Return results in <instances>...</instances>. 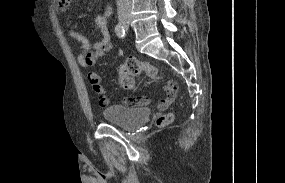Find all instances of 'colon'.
<instances>
[{
	"instance_id": "colon-1",
	"label": "colon",
	"mask_w": 285,
	"mask_h": 183,
	"mask_svg": "<svg viewBox=\"0 0 285 183\" xmlns=\"http://www.w3.org/2000/svg\"><path fill=\"white\" fill-rule=\"evenodd\" d=\"M64 2V0H60ZM119 74V85L126 90H131L135 87V77L140 74H145L147 77L153 80H159L162 75L159 73L158 69L153 65L139 61L135 58H128L118 67ZM131 104L133 103H146L145 99H131ZM172 120V115L170 113L163 114L157 118L156 124L158 126H164Z\"/></svg>"
}]
</instances>
